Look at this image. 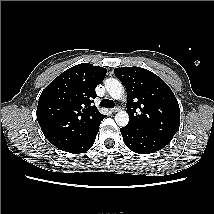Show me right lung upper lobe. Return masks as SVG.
Returning a JSON list of instances; mask_svg holds the SVG:
<instances>
[{
    "label": "right lung upper lobe",
    "mask_w": 214,
    "mask_h": 214,
    "mask_svg": "<svg viewBox=\"0 0 214 214\" xmlns=\"http://www.w3.org/2000/svg\"><path fill=\"white\" fill-rule=\"evenodd\" d=\"M107 70L81 63L55 78L41 93L36 111L38 123L51 144L70 151L83 142L101 123L93 99L95 87Z\"/></svg>",
    "instance_id": "1"
}]
</instances>
